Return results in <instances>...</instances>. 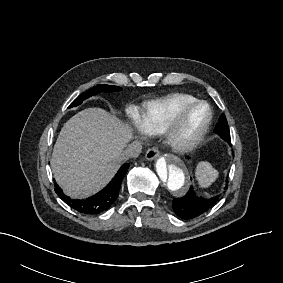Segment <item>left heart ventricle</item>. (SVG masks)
<instances>
[{"label":"left heart ventricle","mask_w":283,"mask_h":283,"mask_svg":"<svg viewBox=\"0 0 283 283\" xmlns=\"http://www.w3.org/2000/svg\"><path fill=\"white\" fill-rule=\"evenodd\" d=\"M206 116L204 107L191 108L182 111L173 107L169 112L170 129L174 131V138L177 141L188 139L200 126Z\"/></svg>","instance_id":"obj_1"}]
</instances>
